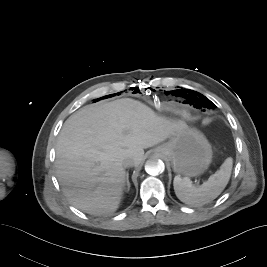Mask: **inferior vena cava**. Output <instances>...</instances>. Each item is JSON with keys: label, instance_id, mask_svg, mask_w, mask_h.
Segmentation results:
<instances>
[{"label": "inferior vena cava", "instance_id": "inferior-vena-cava-1", "mask_svg": "<svg viewBox=\"0 0 267 267\" xmlns=\"http://www.w3.org/2000/svg\"><path fill=\"white\" fill-rule=\"evenodd\" d=\"M134 161L132 159H125L123 161V166L126 168V167H132L134 166Z\"/></svg>", "mask_w": 267, "mask_h": 267}]
</instances>
